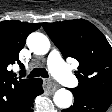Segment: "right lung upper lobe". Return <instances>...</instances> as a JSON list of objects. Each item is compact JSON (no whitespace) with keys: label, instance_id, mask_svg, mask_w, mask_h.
Returning <instances> with one entry per match:
<instances>
[{"label":"right lung upper lobe","instance_id":"1","mask_svg":"<svg viewBox=\"0 0 112 112\" xmlns=\"http://www.w3.org/2000/svg\"><path fill=\"white\" fill-rule=\"evenodd\" d=\"M41 23L0 22V112H15L36 79L15 78L9 65L19 61L27 36Z\"/></svg>","mask_w":112,"mask_h":112}]
</instances>
